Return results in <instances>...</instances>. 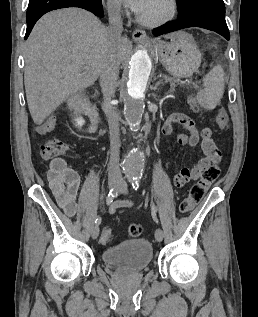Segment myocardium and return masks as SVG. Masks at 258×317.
I'll list each match as a JSON object with an SVG mask.
<instances>
[{
  "mask_svg": "<svg viewBox=\"0 0 258 317\" xmlns=\"http://www.w3.org/2000/svg\"><path fill=\"white\" fill-rule=\"evenodd\" d=\"M159 2H165L169 5V12L163 16L162 18H160L159 20L155 21V22H150L146 19L145 15L143 14L142 10L147 9L151 6H153L156 3ZM176 13V3L174 2V0H148L142 7L141 9L136 11V15H137V21L139 22L140 25L146 27V28H150V29H156V28H160L162 26H164L165 24H167L170 20H172L175 16Z\"/></svg>",
  "mask_w": 258,
  "mask_h": 317,
  "instance_id": "1",
  "label": "myocardium"
}]
</instances>
